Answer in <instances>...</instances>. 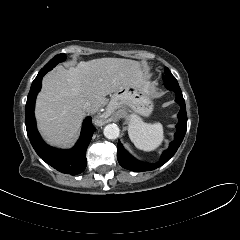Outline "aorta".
Returning <instances> with one entry per match:
<instances>
[{"label":"aorta","mask_w":240,"mask_h":240,"mask_svg":"<svg viewBox=\"0 0 240 240\" xmlns=\"http://www.w3.org/2000/svg\"><path fill=\"white\" fill-rule=\"evenodd\" d=\"M103 133L107 139H117L120 134V129L116 124H108L105 126Z\"/></svg>","instance_id":"obj_1"}]
</instances>
